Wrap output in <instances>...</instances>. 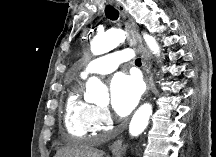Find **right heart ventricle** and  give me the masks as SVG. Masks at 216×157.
I'll list each match as a JSON object with an SVG mask.
<instances>
[{"instance_id": "1", "label": "right heart ventricle", "mask_w": 216, "mask_h": 157, "mask_svg": "<svg viewBox=\"0 0 216 157\" xmlns=\"http://www.w3.org/2000/svg\"><path fill=\"white\" fill-rule=\"evenodd\" d=\"M94 106L80 96L78 86L69 94L65 105L64 125L69 134L75 137H87L92 131L91 115Z\"/></svg>"}]
</instances>
